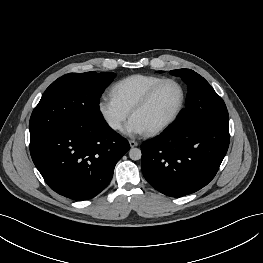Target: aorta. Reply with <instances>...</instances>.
Listing matches in <instances>:
<instances>
[{
  "label": "aorta",
  "instance_id": "aorta-1",
  "mask_svg": "<svg viewBox=\"0 0 263 263\" xmlns=\"http://www.w3.org/2000/svg\"><path fill=\"white\" fill-rule=\"evenodd\" d=\"M141 156H142V153H141L140 149H138V148H131L129 150V157H130V159L136 161V160L141 159Z\"/></svg>",
  "mask_w": 263,
  "mask_h": 263
}]
</instances>
